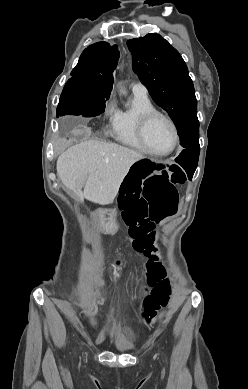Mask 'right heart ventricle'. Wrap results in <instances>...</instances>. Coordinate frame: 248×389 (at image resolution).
Wrapping results in <instances>:
<instances>
[{"mask_svg":"<svg viewBox=\"0 0 248 389\" xmlns=\"http://www.w3.org/2000/svg\"><path fill=\"white\" fill-rule=\"evenodd\" d=\"M153 109L148 97L133 94L130 107L115 109L111 125L113 137L125 146L146 152L138 138L137 126L140 116Z\"/></svg>","mask_w":248,"mask_h":389,"instance_id":"obj_1","label":"right heart ventricle"}]
</instances>
